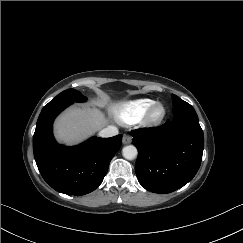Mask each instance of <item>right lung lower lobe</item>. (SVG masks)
I'll return each instance as SVG.
<instances>
[{
  "label": "right lung lower lobe",
  "mask_w": 243,
  "mask_h": 243,
  "mask_svg": "<svg viewBox=\"0 0 243 243\" xmlns=\"http://www.w3.org/2000/svg\"><path fill=\"white\" fill-rule=\"evenodd\" d=\"M67 106L57 102L43 107L33 136L34 158L43 179L56 191L85 195L103 181L122 136L92 137L73 147L59 145L52 133L55 117Z\"/></svg>",
  "instance_id": "98d812e1"
}]
</instances>
